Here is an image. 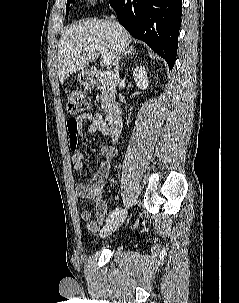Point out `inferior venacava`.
I'll return each mask as SVG.
<instances>
[{"mask_svg": "<svg viewBox=\"0 0 239 303\" xmlns=\"http://www.w3.org/2000/svg\"><path fill=\"white\" fill-rule=\"evenodd\" d=\"M111 18L113 19L114 16L112 15ZM115 24L119 25L117 22L114 21ZM119 59H120V52L117 54L116 56V60H115V68H116V72H118L119 70Z\"/></svg>", "mask_w": 239, "mask_h": 303, "instance_id": "1", "label": "inferior vena cava"}]
</instances>
